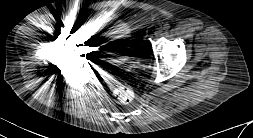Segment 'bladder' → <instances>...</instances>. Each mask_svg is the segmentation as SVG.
<instances>
[{
  "label": "bladder",
  "instance_id": "bladder-1",
  "mask_svg": "<svg viewBox=\"0 0 253 138\" xmlns=\"http://www.w3.org/2000/svg\"><path fill=\"white\" fill-rule=\"evenodd\" d=\"M114 36L118 38L117 44L123 45L127 42L128 40V28L126 27L125 24H121L120 27L114 31ZM107 49H112V45L106 46Z\"/></svg>",
  "mask_w": 253,
  "mask_h": 138
}]
</instances>
